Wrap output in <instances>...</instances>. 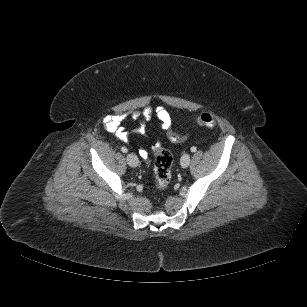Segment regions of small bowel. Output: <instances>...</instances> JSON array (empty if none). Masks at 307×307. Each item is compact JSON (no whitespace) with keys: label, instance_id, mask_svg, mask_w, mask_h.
<instances>
[{"label":"small bowel","instance_id":"small-bowel-1","mask_svg":"<svg viewBox=\"0 0 307 307\" xmlns=\"http://www.w3.org/2000/svg\"><path fill=\"white\" fill-rule=\"evenodd\" d=\"M152 116V108L146 107L142 113L134 112L131 116V119L133 121H137L140 119L142 121H148L152 118ZM156 116L160 120L162 128H169V126L171 125V120L168 112L164 108L158 107L156 109ZM124 118L125 116L123 114L107 115L103 119V125L108 132L114 134L122 141H127L128 135L122 126ZM139 154L143 159H146L148 157V151L145 149H140Z\"/></svg>","mask_w":307,"mask_h":307}]
</instances>
